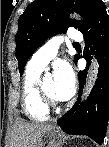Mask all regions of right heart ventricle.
Here are the masks:
<instances>
[{
    "label": "right heart ventricle",
    "instance_id": "1",
    "mask_svg": "<svg viewBox=\"0 0 109 147\" xmlns=\"http://www.w3.org/2000/svg\"><path fill=\"white\" fill-rule=\"evenodd\" d=\"M42 70L27 65L22 82V107L25 114L32 120L44 121L49 110L43 105L38 91V80Z\"/></svg>",
    "mask_w": 109,
    "mask_h": 147
}]
</instances>
